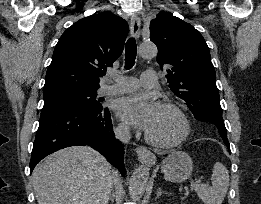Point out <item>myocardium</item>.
<instances>
[{"mask_svg":"<svg viewBox=\"0 0 261 204\" xmlns=\"http://www.w3.org/2000/svg\"><path fill=\"white\" fill-rule=\"evenodd\" d=\"M157 107L159 108H166L172 110L180 119L181 125H182V130L180 135L175 138L174 140L171 141H158L154 138H152L147 132H145V139L146 141L157 147V148H162V149H168V148H173L175 146H178L181 144L185 139L188 137L189 132H190V123L189 120L184 113V111L175 103L170 102V101H162L157 104Z\"/></svg>","mask_w":261,"mask_h":204,"instance_id":"1","label":"myocardium"}]
</instances>
